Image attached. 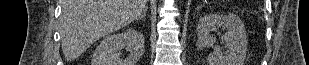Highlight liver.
<instances>
[{
  "label": "liver",
  "mask_w": 309,
  "mask_h": 65,
  "mask_svg": "<svg viewBox=\"0 0 309 65\" xmlns=\"http://www.w3.org/2000/svg\"><path fill=\"white\" fill-rule=\"evenodd\" d=\"M147 0H61L60 34L67 61L96 40L137 20Z\"/></svg>",
  "instance_id": "liver-1"
}]
</instances>
